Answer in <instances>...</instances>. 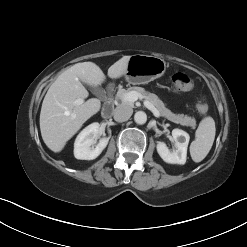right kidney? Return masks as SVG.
<instances>
[{
  "label": "right kidney",
  "instance_id": "ca27d5eb",
  "mask_svg": "<svg viewBox=\"0 0 247 247\" xmlns=\"http://www.w3.org/2000/svg\"><path fill=\"white\" fill-rule=\"evenodd\" d=\"M99 123L95 122L84 128L77 136L74 143V156L81 160H93L106 148L109 138H101L97 145L96 137L99 132Z\"/></svg>",
  "mask_w": 247,
  "mask_h": 247
}]
</instances>
